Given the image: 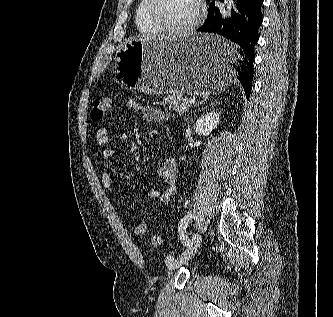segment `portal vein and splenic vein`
<instances>
[{
    "label": "portal vein and splenic vein",
    "mask_w": 333,
    "mask_h": 317,
    "mask_svg": "<svg viewBox=\"0 0 333 317\" xmlns=\"http://www.w3.org/2000/svg\"><path fill=\"white\" fill-rule=\"evenodd\" d=\"M189 103H190L191 105H193V104L196 103V101H195V99H190V100H189Z\"/></svg>",
    "instance_id": "1"
}]
</instances>
